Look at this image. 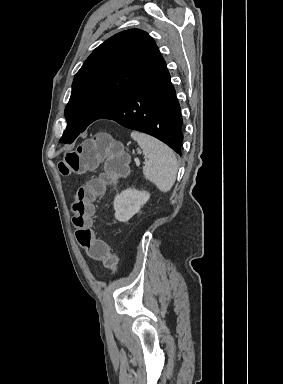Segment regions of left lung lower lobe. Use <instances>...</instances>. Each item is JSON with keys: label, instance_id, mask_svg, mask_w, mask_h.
Here are the masks:
<instances>
[{"label": "left lung lower lobe", "instance_id": "left-lung-lower-lobe-1", "mask_svg": "<svg viewBox=\"0 0 283 384\" xmlns=\"http://www.w3.org/2000/svg\"><path fill=\"white\" fill-rule=\"evenodd\" d=\"M99 119L114 120L124 127L154 136L181 155V110L164 60Z\"/></svg>", "mask_w": 283, "mask_h": 384}]
</instances>
